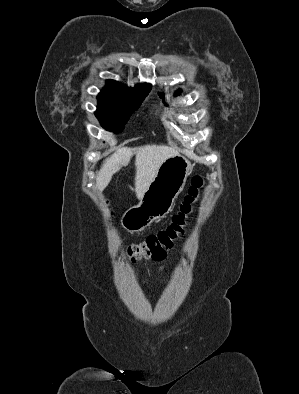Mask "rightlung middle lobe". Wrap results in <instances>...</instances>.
I'll list each match as a JSON object with an SVG mask.
<instances>
[{"instance_id":"obj_1","label":"right lung middle lobe","mask_w":299,"mask_h":394,"mask_svg":"<svg viewBox=\"0 0 299 394\" xmlns=\"http://www.w3.org/2000/svg\"><path fill=\"white\" fill-rule=\"evenodd\" d=\"M147 95L118 92L98 96V107L95 116L103 128L119 133L124 129L132 112L141 105Z\"/></svg>"}]
</instances>
